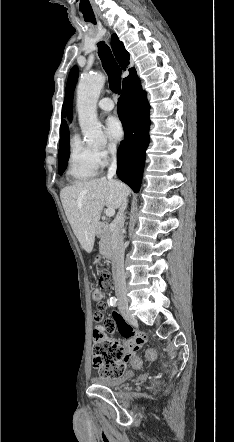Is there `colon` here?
Segmentation results:
<instances>
[{
    "instance_id": "obj_1",
    "label": "colon",
    "mask_w": 234,
    "mask_h": 442,
    "mask_svg": "<svg viewBox=\"0 0 234 442\" xmlns=\"http://www.w3.org/2000/svg\"><path fill=\"white\" fill-rule=\"evenodd\" d=\"M99 287L92 290V299L95 303L102 306L104 290L113 287V277L109 269L100 265L98 267ZM104 321V319H103ZM145 360L152 362L157 357L156 349L148 346L143 350ZM139 352L135 349L124 350L122 345L107 337L106 331L99 334L94 331L93 346V365L103 377H117L126 370V364H131L135 369L143 365V359L138 356Z\"/></svg>"
}]
</instances>
